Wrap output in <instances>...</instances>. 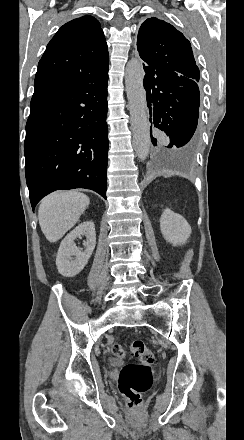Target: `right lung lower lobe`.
I'll return each mask as SVG.
<instances>
[{
	"label": "right lung lower lobe",
	"instance_id": "98d812e1",
	"mask_svg": "<svg viewBox=\"0 0 244 440\" xmlns=\"http://www.w3.org/2000/svg\"><path fill=\"white\" fill-rule=\"evenodd\" d=\"M108 66L36 86L24 142L32 208L59 189L87 188L106 199Z\"/></svg>",
	"mask_w": 244,
	"mask_h": 440
}]
</instances>
